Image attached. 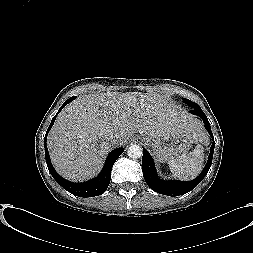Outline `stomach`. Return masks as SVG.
<instances>
[{
    "mask_svg": "<svg viewBox=\"0 0 253 253\" xmlns=\"http://www.w3.org/2000/svg\"><path fill=\"white\" fill-rule=\"evenodd\" d=\"M139 138L152 148L153 154L159 162L168 161L171 157L188 151L193 143L182 134L165 133L158 137L140 134Z\"/></svg>",
    "mask_w": 253,
    "mask_h": 253,
    "instance_id": "stomach-1",
    "label": "stomach"
}]
</instances>
